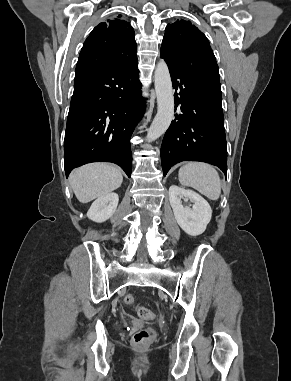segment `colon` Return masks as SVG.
Masks as SVG:
<instances>
[{
  "mask_svg": "<svg viewBox=\"0 0 291 381\" xmlns=\"http://www.w3.org/2000/svg\"><path fill=\"white\" fill-rule=\"evenodd\" d=\"M124 303L131 305L134 303V297L131 294L125 295ZM137 315L144 320H152L155 318L154 312L145 306H138L136 308ZM155 338V333L151 329H143L136 332L133 336V344L137 347H146L152 344Z\"/></svg>",
  "mask_w": 291,
  "mask_h": 381,
  "instance_id": "5ec220e1",
  "label": "colon"
}]
</instances>
